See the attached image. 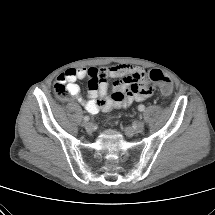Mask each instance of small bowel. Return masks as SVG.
I'll use <instances>...</instances> for the list:
<instances>
[{"instance_id":"obj_1","label":"small bowel","mask_w":215,"mask_h":215,"mask_svg":"<svg viewBox=\"0 0 215 215\" xmlns=\"http://www.w3.org/2000/svg\"><path fill=\"white\" fill-rule=\"evenodd\" d=\"M89 79L88 99L80 94L78 80ZM116 78L113 91L108 95V79ZM58 81L67 84L69 95L81 103L87 112L111 111L127 108L134 102H141L152 92L147 84V73L141 67L118 64L110 67L70 68L61 73ZM138 90L134 91L133 88Z\"/></svg>"}]
</instances>
